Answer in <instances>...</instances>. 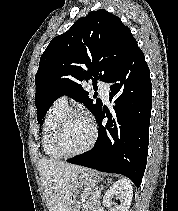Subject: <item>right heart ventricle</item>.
Listing matches in <instances>:
<instances>
[{
  "label": "right heart ventricle",
  "instance_id": "right-heart-ventricle-1",
  "mask_svg": "<svg viewBox=\"0 0 178 211\" xmlns=\"http://www.w3.org/2000/svg\"><path fill=\"white\" fill-rule=\"evenodd\" d=\"M69 111L67 103L62 100L55 101L49 108L43 124V150L50 159H58L62 156L55 147V135L58 126L66 112Z\"/></svg>",
  "mask_w": 178,
  "mask_h": 211
}]
</instances>
